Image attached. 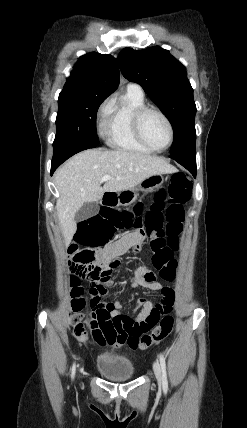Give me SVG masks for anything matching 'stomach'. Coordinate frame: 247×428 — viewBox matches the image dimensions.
Returning <instances> with one entry per match:
<instances>
[{"label":"stomach","instance_id":"1","mask_svg":"<svg viewBox=\"0 0 247 428\" xmlns=\"http://www.w3.org/2000/svg\"><path fill=\"white\" fill-rule=\"evenodd\" d=\"M163 182H164V177L162 174H156V175L150 176L144 181H142L138 187H134L132 189L121 192L118 195L120 196L119 201H121L123 205H129L137 200L138 191L151 192L159 188Z\"/></svg>","mask_w":247,"mask_h":428}]
</instances>
